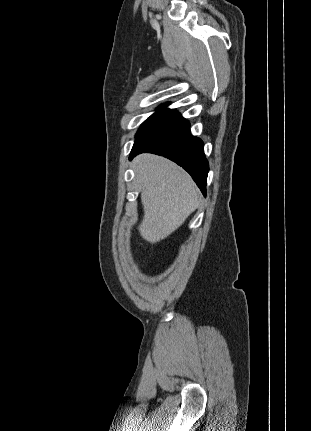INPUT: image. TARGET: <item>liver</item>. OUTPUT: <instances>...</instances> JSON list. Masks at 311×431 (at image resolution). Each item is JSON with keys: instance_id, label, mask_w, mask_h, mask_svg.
I'll list each match as a JSON object with an SVG mask.
<instances>
[{"instance_id": "liver-1", "label": "liver", "mask_w": 311, "mask_h": 431, "mask_svg": "<svg viewBox=\"0 0 311 431\" xmlns=\"http://www.w3.org/2000/svg\"><path fill=\"white\" fill-rule=\"evenodd\" d=\"M141 188L140 235L156 243L170 235L199 208L198 188L189 174L160 156L141 154L132 166Z\"/></svg>"}]
</instances>
